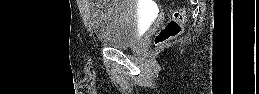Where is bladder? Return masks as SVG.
<instances>
[{"label": "bladder", "instance_id": "obj_1", "mask_svg": "<svg viewBox=\"0 0 259 94\" xmlns=\"http://www.w3.org/2000/svg\"><path fill=\"white\" fill-rule=\"evenodd\" d=\"M90 22L96 38L111 48L131 47L141 37L142 12L132 0L91 1Z\"/></svg>", "mask_w": 259, "mask_h": 94}]
</instances>
